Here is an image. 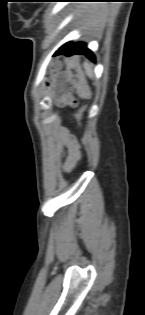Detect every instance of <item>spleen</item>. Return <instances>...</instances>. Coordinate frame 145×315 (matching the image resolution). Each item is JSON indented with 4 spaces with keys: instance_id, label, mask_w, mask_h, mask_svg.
I'll return each instance as SVG.
<instances>
[{
    "instance_id": "spleen-1",
    "label": "spleen",
    "mask_w": 145,
    "mask_h": 315,
    "mask_svg": "<svg viewBox=\"0 0 145 315\" xmlns=\"http://www.w3.org/2000/svg\"><path fill=\"white\" fill-rule=\"evenodd\" d=\"M83 67H84V69H85V72H86L87 76H88L89 78H93V70H92L91 64L88 63V62H84V63H83Z\"/></svg>"
}]
</instances>
